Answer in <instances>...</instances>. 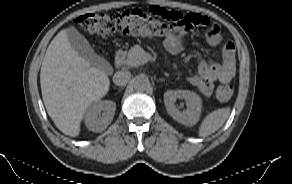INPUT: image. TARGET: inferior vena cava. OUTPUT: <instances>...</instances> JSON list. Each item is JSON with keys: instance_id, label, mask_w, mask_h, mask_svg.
<instances>
[{"instance_id": "1", "label": "inferior vena cava", "mask_w": 292, "mask_h": 184, "mask_svg": "<svg viewBox=\"0 0 292 184\" xmlns=\"http://www.w3.org/2000/svg\"><path fill=\"white\" fill-rule=\"evenodd\" d=\"M130 78L131 73L129 71H118L113 76V82L117 86H125Z\"/></svg>"}]
</instances>
